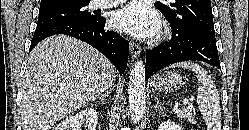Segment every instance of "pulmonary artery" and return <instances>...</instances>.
I'll return each instance as SVG.
<instances>
[{"instance_id":"1","label":"pulmonary artery","mask_w":249,"mask_h":130,"mask_svg":"<svg viewBox=\"0 0 249 130\" xmlns=\"http://www.w3.org/2000/svg\"><path fill=\"white\" fill-rule=\"evenodd\" d=\"M126 0H94V7L96 8H106L123 3Z\"/></svg>"}]
</instances>
